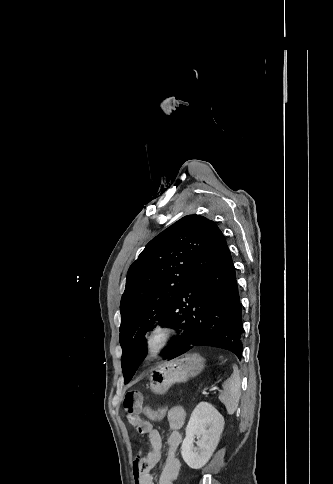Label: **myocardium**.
Wrapping results in <instances>:
<instances>
[{
  "label": "myocardium",
  "instance_id": "f54148a6",
  "mask_svg": "<svg viewBox=\"0 0 333 484\" xmlns=\"http://www.w3.org/2000/svg\"><path fill=\"white\" fill-rule=\"evenodd\" d=\"M174 335V328L167 322L154 324L144 336V347L148 355H159Z\"/></svg>",
  "mask_w": 333,
  "mask_h": 484
}]
</instances>
